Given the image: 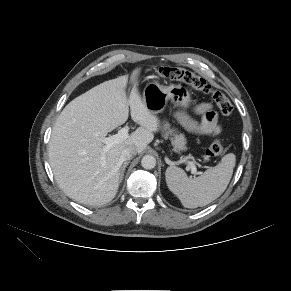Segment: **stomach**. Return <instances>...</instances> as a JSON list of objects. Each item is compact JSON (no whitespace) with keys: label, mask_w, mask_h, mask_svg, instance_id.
<instances>
[{"label":"stomach","mask_w":291,"mask_h":291,"mask_svg":"<svg viewBox=\"0 0 291 291\" xmlns=\"http://www.w3.org/2000/svg\"><path fill=\"white\" fill-rule=\"evenodd\" d=\"M142 99L152 114L162 112L169 101L181 108H188L191 103L190 93L185 87L174 84L162 86L156 82L146 85Z\"/></svg>","instance_id":"stomach-1"}]
</instances>
